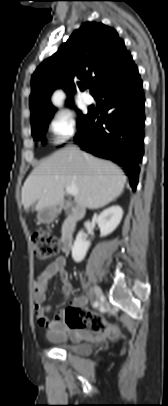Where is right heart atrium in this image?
Masks as SVG:
<instances>
[{"label":"right heart atrium","mask_w":168,"mask_h":406,"mask_svg":"<svg viewBox=\"0 0 168 406\" xmlns=\"http://www.w3.org/2000/svg\"><path fill=\"white\" fill-rule=\"evenodd\" d=\"M48 130L53 143L62 144L70 139L77 130L76 116L68 110L58 111L50 118Z\"/></svg>","instance_id":"obj_1"}]
</instances>
